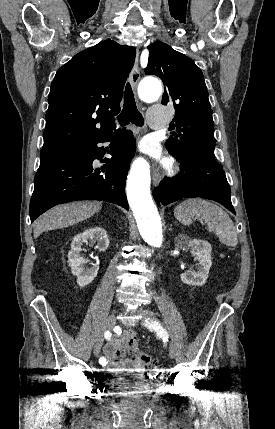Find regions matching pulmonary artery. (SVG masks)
<instances>
[{"mask_svg": "<svg viewBox=\"0 0 275 429\" xmlns=\"http://www.w3.org/2000/svg\"><path fill=\"white\" fill-rule=\"evenodd\" d=\"M147 117L149 125L154 129L164 127L168 120L166 111L158 106L150 108Z\"/></svg>", "mask_w": 275, "mask_h": 429, "instance_id": "1", "label": "pulmonary artery"}]
</instances>
